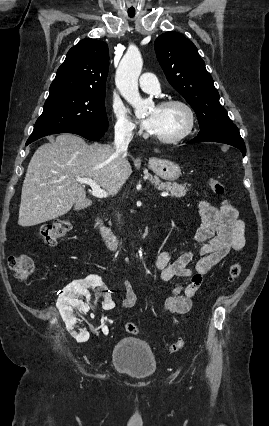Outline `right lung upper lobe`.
Wrapping results in <instances>:
<instances>
[{
    "mask_svg": "<svg viewBox=\"0 0 269 426\" xmlns=\"http://www.w3.org/2000/svg\"><path fill=\"white\" fill-rule=\"evenodd\" d=\"M108 68L107 43L83 39L68 51L49 93L71 91L105 94Z\"/></svg>",
    "mask_w": 269,
    "mask_h": 426,
    "instance_id": "1",
    "label": "right lung upper lobe"
}]
</instances>
